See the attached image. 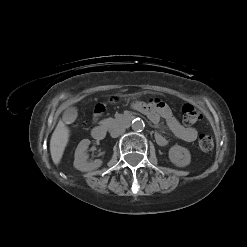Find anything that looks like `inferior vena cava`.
<instances>
[{"instance_id":"602c4592","label":"inferior vena cava","mask_w":247,"mask_h":247,"mask_svg":"<svg viewBox=\"0 0 247 247\" xmlns=\"http://www.w3.org/2000/svg\"><path fill=\"white\" fill-rule=\"evenodd\" d=\"M125 132V128L122 126H115L110 130V135L113 138H116L122 135Z\"/></svg>"}]
</instances>
